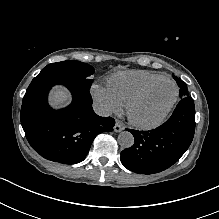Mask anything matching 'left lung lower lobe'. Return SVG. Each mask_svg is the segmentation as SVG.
Listing matches in <instances>:
<instances>
[{"instance_id": "0a47b994", "label": "left lung lower lobe", "mask_w": 219, "mask_h": 219, "mask_svg": "<svg viewBox=\"0 0 219 219\" xmlns=\"http://www.w3.org/2000/svg\"><path fill=\"white\" fill-rule=\"evenodd\" d=\"M135 143L121 152V162L139 174H154L175 164L190 146L195 132V107L190 96L184 97L171 117L156 129H127Z\"/></svg>"}]
</instances>
